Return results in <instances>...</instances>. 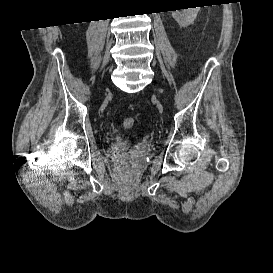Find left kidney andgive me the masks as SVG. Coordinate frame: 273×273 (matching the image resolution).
<instances>
[{"label": "left kidney", "mask_w": 273, "mask_h": 273, "mask_svg": "<svg viewBox=\"0 0 273 273\" xmlns=\"http://www.w3.org/2000/svg\"><path fill=\"white\" fill-rule=\"evenodd\" d=\"M199 7L170 11L172 17L181 27L191 25L197 17Z\"/></svg>", "instance_id": "1"}]
</instances>
